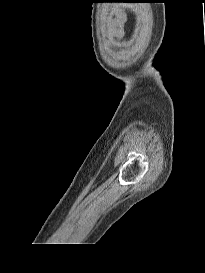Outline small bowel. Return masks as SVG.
<instances>
[{
  "instance_id": "1",
  "label": "small bowel",
  "mask_w": 205,
  "mask_h": 273,
  "mask_svg": "<svg viewBox=\"0 0 205 273\" xmlns=\"http://www.w3.org/2000/svg\"><path fill=\"white\" fill-rule=\"evenodd\" d=\"M114 26H115V29L120 30V26L118 23H115Z\"/></svg>"
}]
</instances>
